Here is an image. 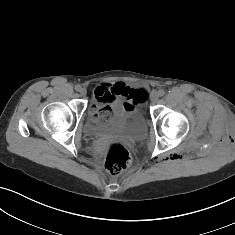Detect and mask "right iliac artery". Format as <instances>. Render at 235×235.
I'll list each match as a JSON object with an SVG mask.
<instances>
[{"instance_id": "obj_1", "label": "right iliac artery", "mask_w": 235, "mask_h": 235, "mask_svg": "<svg viewBox=\"0 0 235 235\" xmlns=\"http://www.w3.org/2000/svg\"><path fill=\"white\" fill-rule=\"evenodd\" d=\"M80 89H81V86H80V85H76V86H75V90H76V91H80Z\"/></svg>"}]
</instances>
